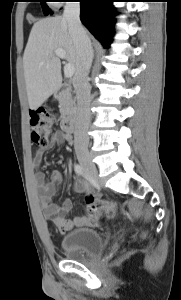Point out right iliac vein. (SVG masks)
<instances>
[{"mask_svg":"<svg viewBox=\"0 0 181 300\" xmlns=\"http://www.w3.org/2000/svg\"><path fill=\"white\" fill-rule=\"evenodd\" d=\"M77 159L92 179L98 178V171L88 152H77Z\"/></svg>","mask_w":181,"mask_h":300,"instance_id":"63e3f726","label":"right iliac vein"}]
</instances>
